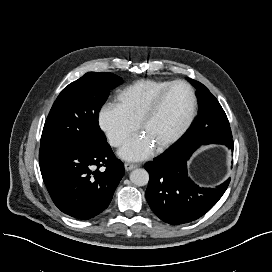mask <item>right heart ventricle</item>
Returning a JSON list of instances; mask_svg holds the SVG:
<instances>
[{
  "mask_svg": "<svg viewBox=\"0 0 272 272\" xmlns=\"http://www.w3.org/2000/svg\"><path fill=\"white\" fill-rule=\"evenodd\" d=\"M171 82L157 79L137 80L117 95V105L136 124L155 96Z\"/></svg>",
  "mask_w": 272,
  "mask_h": 272,
  "instance_id": "e07e8e85",
  "label": "right heart ventricle"
}]
</instances>
